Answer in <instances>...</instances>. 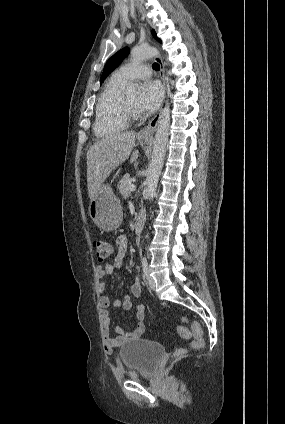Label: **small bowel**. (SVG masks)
<instances>
[{
    "instance_id": "1",
    "label": "small bowel",
    "mask_w": 285,
    "mask_h": 424,
    "mask_svg": "<svg viewBox=\"0 0 285 424\" xmlns=\"http://www.w3.org/2000/svg\"><path fill=\"white\" fill-rule=\"evenodd\" d=\"M116 255L112 262L106 263L105 265H98L96 267V274L99 280L98 292H99V303L104 309V321L107 325L111 323L112 314L106 310L110 305V299L105 293V277L112 275L115 272L121 271L123 266V258L127 251L128 240L126 235H119L116 240ZM131 295H126L122 300H114L112 302L114 307H122L125 310L134 308L137 324L135 328L130 332H125L121 327L115 328L116 336L114 338H108L105 341V349L107 351L113 350L115 347L123 345L125 342L130 340H136L143 336L145 332V308L142 304L138 303L134 305L133 298L138 299L141 295V283L140 279L136 278L135 282L130 287Z\"/></svg>"
}]
</instances>
